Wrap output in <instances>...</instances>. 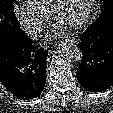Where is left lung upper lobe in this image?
<instances>
[{"instance_id": "left-lung-upper-lobe-1", "label": "left lung upper lobe", "mask_w": 113, "mask_h": 113, "mask_svg": "<svg viewBox=\"0 0 113 113\" xmlns=\"http://www.w3.org/2000/svg\"><path fill=\"white\" fill-rule=\"evenodd\" d=\"M103 12L100 14L99 18L93 22L89 27H98L106 22H113V0H103Z\"/></svg>"}]
</instances>
